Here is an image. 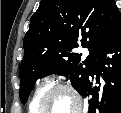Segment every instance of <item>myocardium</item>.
<instances>
[{"label": "myocardium", "mask_w": 121, "mask_h": 113, "mask_svg": "<svg viewBox=\"0 0 121 113\" xmlns=\"http://www.w3.org/2000/svg\"><path fill=\"white\" fill-rule=\"evenodd\" d=\"M61 91H65L68 92L69 94H71V96L74 98L75 100V108L73 110H81L83 109V98L80 94V92L72 85L68 84V83H55L52 84L50 86H48L42 93L37 108L38 110L41 109H46L44 107V105H46L48 99L53 95L56 94L58 92Z\"/></svg>", "instance_id": "myocardium-1"}]
</instances>
